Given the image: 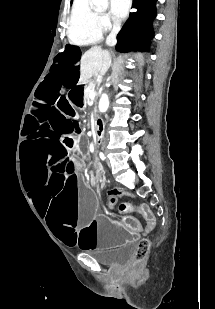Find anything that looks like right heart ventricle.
<instances>
[{"instance_id": "right-heart-ventricle-1", "label": "right heart ventricle", "mask_w": 215, "mask_h": 309, "mask_svg": "<svg viewBox=\"0 0 215 309\" xmlns=\"http://www.w3.org/2000/svg\"><path fill=\"white\" fill-rule=\"evenodd\" d=\"M104 33L95 23L88 9H75L68 23L67 38L71 45L85 46L88 42H100Z\"/></svg>"}]
</instances>
